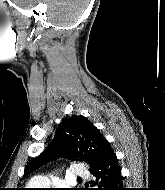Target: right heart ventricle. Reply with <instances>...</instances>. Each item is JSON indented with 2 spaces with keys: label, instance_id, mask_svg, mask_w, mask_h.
Instances as JSON below:
<instances>
[{
  "label": "right heart ventricle",
  "instance_id": "obj_1",
  "mask_svg": "<svg viewBox=\"0 0 165 190\" xmlns=\"http://www.w3.org/2000/svg\"><path fill=\"white\" fill-rule=\"evenodd\" d=\"M31 185H33V186H39V185H44V184H41L38 181H34V182L31 183Z\"/></svg>",
  "mask_w": 165,
  "mask_h": 190
}]
</instances>
